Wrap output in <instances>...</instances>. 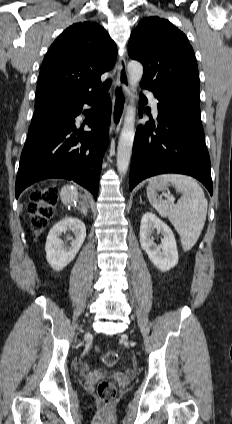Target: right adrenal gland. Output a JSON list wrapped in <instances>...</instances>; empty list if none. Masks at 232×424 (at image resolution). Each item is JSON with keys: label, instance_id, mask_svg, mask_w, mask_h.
Listing matches in <instances>:
<instances>
[{"label": "right adrenal gland", "instance_id": "right-adrenal-gland-1", "mask_svg": "<svg viewBox=\"0 0 232 424\" xmlns=\"http://www.w3.org/2000/svg\"><path fill=\"white\" fill-rule=\"evenodd\" d=\"M81 199L82 200L79 203V207L77 209L81 214H83L84 216H87L88 210H89V205H88L86 199H84L83 197H81Z\"/></svg>", "mask_w": 232, "mask_h": 424}]
</instances>
